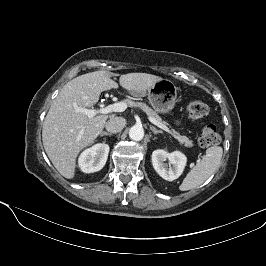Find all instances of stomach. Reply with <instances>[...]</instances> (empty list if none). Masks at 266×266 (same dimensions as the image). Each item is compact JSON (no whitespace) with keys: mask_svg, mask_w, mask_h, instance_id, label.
<instances>
[{"mask_svg":"<svg viewBox=\"0 0 266 266\" xmlns=\"http://www.w3.org/2000/svg\"><path fill=\"white\" fill-rule=\"evenodd\" d=\"M146 91L149 102L155 111L167 113L173 109L177 98V88L171 80L161 79ZM146 91L132 92V94L136 97H142Z\"/></svg>","mask_w":266,"mask_h":266,"instance_id":"1","label":"stomach"}]
</instances>
